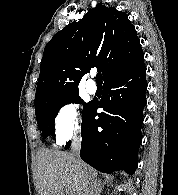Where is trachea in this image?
I'll use <instances>...</instances> for the list:
<instances>
[{
	"mask_svg": "<svg viewBox=\"0 0 178 195\" xmlns=\"http://www.w3.org/2000/svg\"><path fill=\"white\" fill-rule=\"evenodd\" d=\"M96 82H102V75L100 73L96 75Z\"/></svg>",
	"mask_w": 178,
	"mask_h": 195,
	"instance_id": "trachea-1",
	"label": "trachea"
}]
</instances>
